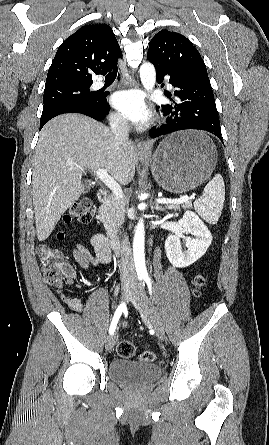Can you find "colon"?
Listing matches in <instances>:
<instances>
[{"instance_id":"obj_1","label":"colon","mask_w":269,"mask_h":445,"mask_svg":"<svg viewBox=\"0 0 269 445\" xmlns=\"http://www.w3.org/2000/svg\"><path fill=\"white\" fill-rule=\"evenodd\" d=\"M92 203L88 198L80 199L69 209L67 220L76 219L81 223H89L92 219ZM62 237V235H60ZM37 256L41 264L46 281L55 287H61L64 280L69 278L66 273V264L62 254L49 245H40L37 248ZM205 277L198 274L193 279L194 294L199 296L205 285ZM135 345L128 340L121 341L117 346V354L122 358H132L135 355ZM140 360L144 362H153L156 360V354L153 351H144L140 355Z\"/></svg>"}]
</instances>
